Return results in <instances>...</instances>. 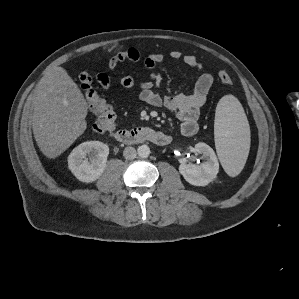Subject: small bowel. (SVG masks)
I'll return each instance as SVG.
<instances>
[{
  "label": "small bowel",
  "instance_id": "small-bowel-1",
  "mask_svg": "<svg viewBox=\"0 0 299 299\" xmlns=\"http://www.w3.org/2000/svg\"><path fill=\"white\" fill-rule=\"evenodd\" d=\"M169 56L172 60L183 61L189 67L202 70V64L193 55H183L180 51H172ZM141 59V54L136 48H129L112 56L107 65L109 69L120 76L121 85L130 89L135 86V80L120 69V64L125 61L134 64ZM163 61L164 56L161 53L150 54L143 59L144 66L150 71V77L149 80L140 83L139 97L150 106L165 107L172 111L180 122V132L184 136H193L198 131L201 109L207 102L214 80L213 76L202 72L195 83L193 92L189 94L179 93L161 96L156 92V89L161 85L162 76L156 68ZM96 79L103 89H109L110 79L105 73H98ZM168 137L170 139L169 135Z\"/></svg>",
  "mask_w": 299,
  "mask_h": 299
}]
</instances>
